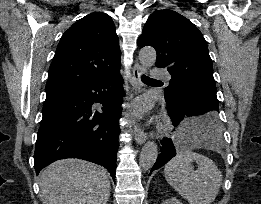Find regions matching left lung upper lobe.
<instances>
[{"label":"left lung upper lobe","instance_id":"1","mask_svg":"<svg viewBox=\"0 0 261 204\" xmlns=\"http://www.w3.org/2000/svg\"><path fill=\"white\" fill-rule=\"evenodd\" d=\"M140 47L157 52L155 65L166 68L172 78L165 99L174 100L185 91L198 93L218 106L213 66L202 33L186 17L164 9L154 11L138 39Z\"/></svg>","mask_w":261,"mask_h":204}]
</instances>
